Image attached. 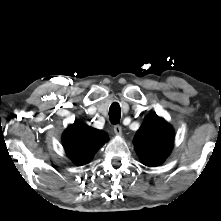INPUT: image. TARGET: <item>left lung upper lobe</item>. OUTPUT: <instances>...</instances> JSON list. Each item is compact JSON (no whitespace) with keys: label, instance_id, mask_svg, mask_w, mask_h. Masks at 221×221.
I'll use <instances>...</instances> for the list:
<instances>
[{"label":"left lung upper lobe","instance_id":"obj_1","mask_svg":"<svg viewBox=\"0 0 221 221\" xmlns=\"http://www.w3.org/2000/svg\"><path fill=\"white\" fill-rule=\"evenodd\" d=\"M174 140L172 127L156 114L151 113L138 129L134 145L143 164L157 166L168 157Z\"/></svg>","mask_w":221,"mask_h":221}]
</instances>
